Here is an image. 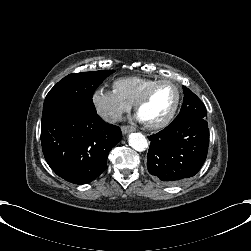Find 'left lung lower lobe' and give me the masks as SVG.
Masks as SVG:
<instances>
[{"label": "left lung lower lobe", "instance_id": "1", "mask_svg": "<svg viewBox=\"0 0 251 251\" xmlns=\"http://www.w3.org/2000/svg\"><path fill=\"white\" fill-rule=\"evenodd\" d=\"M148 171L166 184L194 176L205 162L209 129L206 119L191 118L171 123L148 137Z\"/></svg>", "mask_w": 251, "mask_h": 251}]
</instances>
